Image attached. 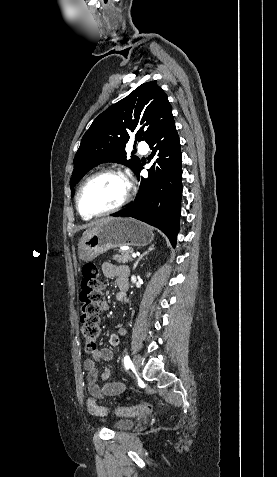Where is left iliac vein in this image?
Returning <instances> with one entry per match:
<instances>
[{"label": "left iliac vein", "instance_id": "obj_1", "mask_svg": "<svg viewBox=\"0 0 277 477\" xmlns=\"http://www.w3.org/2000/svg\"><path fill=\"white\" fill-rule=\"evenodd\" d=\"M141 363H142L141 356L140 355H135L133 357V364H134V368L137 372L140 370Z\"/></svg>", "mask_w": 277, "mask_h": 477}]
</instances>
